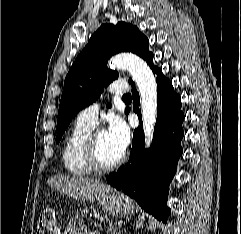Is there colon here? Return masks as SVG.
<instances>
[{
  "label": "colon",
  "instance_id": "colon-1",
  "mask_svg": "<svg viewBox=\"0 0 241 234\" xmlns=\"http://www.w3.org/2000/svg\"><path fill=\"white\" fill-rule=\"evenodd\" d=\"M36 234H57V221L52 208L46 207L42 210Z\"/></svg>",
  "mask_w": 241,
  "mask_h": 234
}]
</instances>
